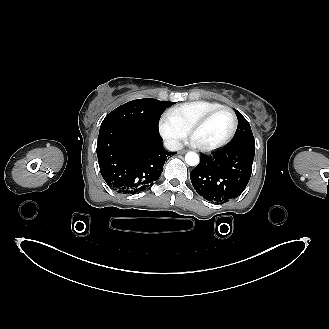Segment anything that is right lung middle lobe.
I'll list each match as a JSON object with an SVG mask.
<instances>
[{"label":"right lung middle lobe","mask_w":329,"mask_h":329,"mask_svg":"<svg viewBox=\"0 0 329 329\" xmlns=\"http://www.w3.org/2000/svg\"><path fill=\"white\" fill-rule=\"evenodd\" d=\"M175 102H161L153 98L137 99L127 102L110 112L101 127L112 124L128 125L158 130L162 112Z\"/></svg>","instance_id":"1"}]
</instances>
